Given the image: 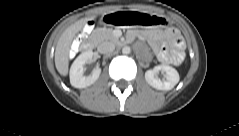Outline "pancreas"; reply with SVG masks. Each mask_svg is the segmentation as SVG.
<instances>
[{"label": "pancreas", "instance_id": "1", "mask_svg": "<svg viewBox=\"0 0 239 136\" xmlns=\"http://www.w3.org/2000/svg\"><path fill=\"white\" fill-rule=\"evenodd\" d=\"M92 37L96 39V42L102 41H112L114 43H119V38L113 34L112 29L107 28H97L93 31Z\"/></svg>", "mask_w": 239, "mask_h": 136}]
</instances>
